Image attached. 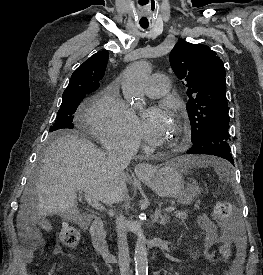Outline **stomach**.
Here are the masks:
<instances>
[{
	"label": "stomach",
	"instance_id": "1",
	"mask_svg": "<svg viewBox=\"0 0 263 275\" xmlns=\"http://www.w3.org/2000/svg\"><path fill=\"white\" fill-rule=\"evenodd\" d=\"M177 164V161L169 162L162 168L151 171L143 180L159 196L176 198L180 203L189 204L199 191L193 186H184Z\"/></svg>",
	"mask_w": 263,
	"mask_h": 275
}]
</instances>
